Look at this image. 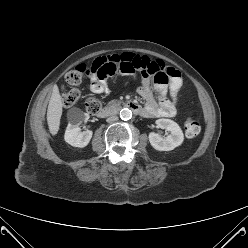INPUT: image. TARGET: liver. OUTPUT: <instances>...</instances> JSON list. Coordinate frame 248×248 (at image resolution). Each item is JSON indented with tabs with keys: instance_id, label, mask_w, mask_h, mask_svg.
Listing matches in <instances>:
<instances>
[{
	"instance_id": "1",
	"label": "liver",
	"mask_w": 248,
	"mask_h": 248,
	"mask_svg": "<svg viewBox=\"0 0 248 248\" xmlns=\"http://www.w3.org/2000/svg\"><path fill=\"white\" fill-rule=\"evenodd\" d=\"M62 108L63 103L59 93V89L57 86H54L47 109V123L49 131L52 135H56L59 131L60 120L63 111Z\"/></svg>"
}]
</instances>
